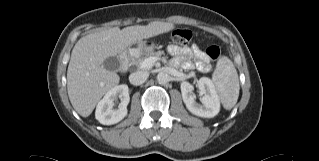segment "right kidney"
Masks as SVG:
<instances>
[{
  "label": "right kidney",
  "instance_id": "1",
  "mask_svg": "<svg viewBox=\"0 0 319 161\" xmlns=\"http://www.w3.org/2000/svg\"><path fill=\"white\" fill-rule=\"evenodd\" d=\"M118 98L121 102L118 108L114 109V102ZM129 100V89L127 85L122 84L113 87L105 94L103 99L98 102L95 118L103 125H112L120 122L127 115Z\"/></svg>",
  "mask_w": 319,
  "mask_h": 161
}]
</instances>
